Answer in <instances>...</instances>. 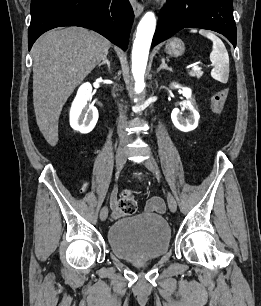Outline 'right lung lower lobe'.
Listing matches in <instances>:
<instances>
[{"label":"right lung lower lobe","mask_w":261,"mask_h":306,"mask_svg":"<svg viewBox=\"0 0 261 306\" xmlns=\"http://www.w3.org/2000/svg\"><path fill=\"white\" fill-rule=\"evenodd\" d=\"M28 47L44 32L61 26L94 30L127 49L134 13L129 0H31Z\"/></svg>","instance_id":"right-lung-lower-lobe-1"}]
</instances>
